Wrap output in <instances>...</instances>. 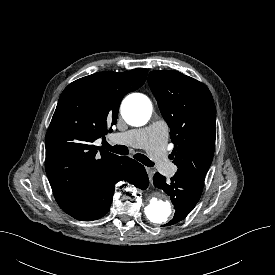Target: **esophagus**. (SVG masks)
<instances>
[{
  "label": "esophagus",
  "instance_id": "1",
  "mask_svg": "<svg viewBox=\"0 0 275 275\" xmlns=\"http://www.w3.org/2000/svg\"><path fill=\"white\" fill-rule=\"evenodd\" d=\"M146 172H147V174L149 176V179L151 180L152 177H153V175H154V171L151 168L146 167Z\"/></svg>",
  "mask_w": 275,
  "mask_h": 275
}]
</instances>
